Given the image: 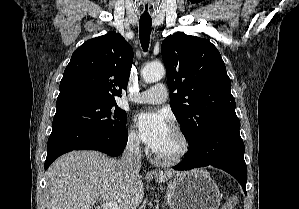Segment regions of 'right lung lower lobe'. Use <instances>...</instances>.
Returning a JSON list of instances; mask_svg holds the SVG:
<instances>
[{
    "instance_id": "right-lung-lower-lobe-1",
    "label": "right lung lower lobe",
    "mask_w": 299,
    "mask_h": 209,
    "mask_svg": "<svg viewBox=\"0 0 299 209\" xmlns=\"http://www.w3.org/2000/svg\"><path fill=\"white\" fill-rule=\"evenodd\" d=\"M52 125L45 169L60 155L73 150H97L112 157L119 156L128 139L126 128L110 132L69 118L54 119Z\"/></svg>"
}]
</instances>
